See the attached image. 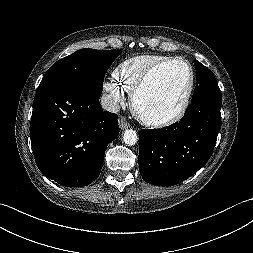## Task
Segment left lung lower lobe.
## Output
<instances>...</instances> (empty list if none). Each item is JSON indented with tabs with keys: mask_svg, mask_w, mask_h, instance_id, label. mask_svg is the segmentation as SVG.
<instances>
[{
	"mask_svg": "<svg viewBox=\"0 0 253 253\" xmlns=\"http://www.w3.org/2000/svg\"><path fill=\"white\" fill-rule=\"evenodd\" d=\"M222 97L191 102L183 118L158 130H140L139 169L153 185L172 186L202 168L212 155L221 127Z\"/></svg>",
	"mask_w": 253,
	"mask_h": 253,
	"instance_id": "left-lung-lower-lobe-1",
	"label": "left lung lower lobe"
}]
</instances>
